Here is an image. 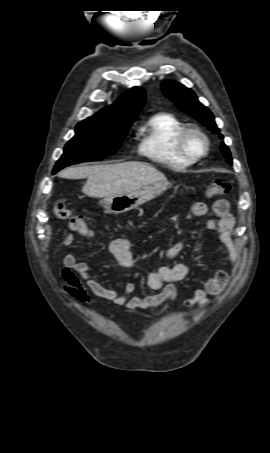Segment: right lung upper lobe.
Listing matches in <instances>:
<instances>
[{
	"label": "right lung upper lobe",
	"mask_w": 270,
	"mask_h": 453,
	"mask_svg": "<svg viewBox=\"0 0 270 453\" xmlns=\"http://www.w3.org/2000/svg\"><path fill=\"white\" fill-rule=\"evenodd\" d=\"M145 102V91L133 87L125 92L113 105L107 106L86 120L108 125L126 127L133 123Z\"/></svg>",
	"instance_id": "obj_1"
}]
</instances>
